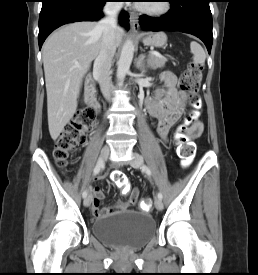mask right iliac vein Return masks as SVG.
Returning <instances> with one entry per match:
<instances>
[{
  "instance_id": "1",
  "label": "right iliac vein",
  "mask_w": 258,
  "mask_h": 275,
  "mask_svg": "<svg viewBox=\"0 0 258 275\" xmlns=\"http://www.w3.org/2000/svg\"><path fill=\"white\" fill-rule=\"evenodd\" d=\"M109 153H110V148H109V146L105 145V146L101 149V152H100V159L106 160L107 157L109 156ZM90 204H91V195L87 196V197L84 199V206H85V207L90 206Z\"/></svg>"
}]
</instances>
